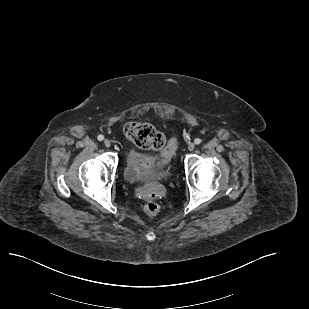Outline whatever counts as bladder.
Wrapping results in <instances>:
<instances>
[{
    "label": "bladder",
    "instance_id": "obj_1",
    "mask_svg": "<svg viewBox=\"0 0 309 309\" xmlns=\"http://www.w3.org/2000/svg\"><path fill=\"white\" fill-rule=\"evenodd\" d=\"M123 174L128 182L146 183L168 178L170 168L157 156L131 148L125 155Z\"/></svg>",
    "mask_w": 309,
    "mask_h": 309
}]
</instances>
